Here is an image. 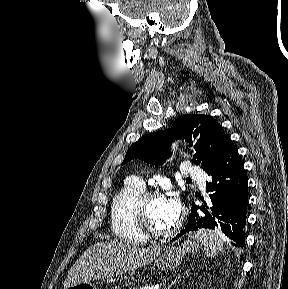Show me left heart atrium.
I'll return each instance as SVG.
<instances>
[{
	"mask_svg": "<svg viewBox=\"0 0 288 289\" xmlns=\"http://www.w3.org/2000/svg\"><path fill=\"white\" fill-rule=\"evenodd\" d=\"M162 201L165 221L170 225L176 223L181 212L179 201L175 198H164Z\"/></svg>",
	"mask_w": 288,
	"mask_h": 289,
	"instance_id": "1",
	"label": "left heart atrium"
}]
</instances>
